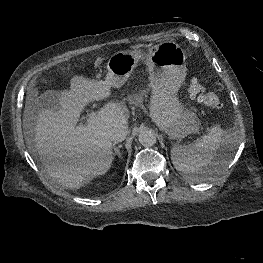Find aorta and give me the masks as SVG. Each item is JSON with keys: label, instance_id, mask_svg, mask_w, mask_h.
<instances>
[{"label": "aorta", "instance_id": "aorta-1", "mask_svg": "<svg viewBox=\"0 0 263 263\" xmlns=\"http://www.w3.org/2000/svg\"><path fill=\"white\" fill-rule=\"evenodd\" d=\"M139 142L144 147H151L156 143V135L151 130H144L139 134Z\"/></svg>", "mask_w": 263, "mask_h": 263}]
</instances>
